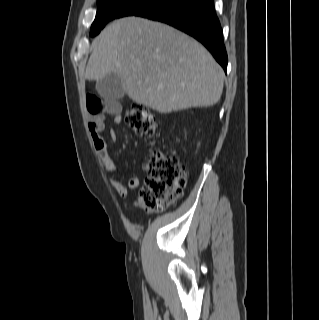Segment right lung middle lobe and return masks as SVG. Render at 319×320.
Wrapping results in <instances>:
<instances>
[{
  "label": "right lung middle lobe",
  "instance_id": "dd1d6c3e",
  "mask_svg": "<svg viewBox=\"0 0 319 320\" xmlns=\"http://www.w3.org/2000/svg\"><path fill=\"white\" fill-rule=\"evenodd\" d=\"M169 0H98L97 14L91 26V36L97 35L110 20L138 15Z\"/></svg>",
  "mask_w": 319,
  "mask_h": 320
}]
</instances>
